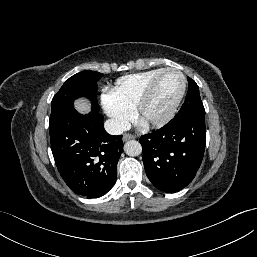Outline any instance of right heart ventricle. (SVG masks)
Returning <instances> with one entry per match:
<instances>
[{
	"instance_id": "obj_1",
	"label": "right heart ventricle",
	"mask_w": 257,
	"mask_h": 257,
	"mask_svg": "<svg viewBox=\"0 0 257 257\" xmlns=\"http://www.w3.org/2000/svg\"><path fill=\"white\" fill-rule=\"evenodd\" d=\"M165 68H156L119 78L109 96L121 106L133 109L152 80Z\"/></svg>"
}]
</instances>
